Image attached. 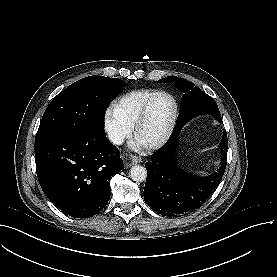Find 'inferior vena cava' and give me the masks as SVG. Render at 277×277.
Here are the masks:
<instances>
[{"instance_id": "1", "label": "inferior vena cava", "mask_w": 277, "mask_h": 277, "mask_svg": "<svg viewBox=\"0 0 277 277\" xmlns=\"http://www.w3.org/2000/svg\"><path fill=\"white\" fill-rule=\"evenodd\" d=\"M108 137L109 140L115 145H121L124 141V137L116 131H110L108 133Z\"/></svg>"}]
</instances>
